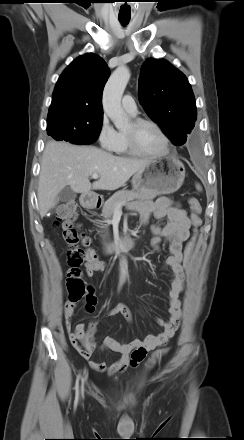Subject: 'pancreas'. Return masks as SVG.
Returning a JSON list of instances; mask_svg holds the SVG:
<instances>
[{
    "mask_svg": "<svg viewBox=\"0 0 244 440\" xmlns=\"http://www.w3.org/2000/svg\"><path fill=\"white\" fill-rule=\"evenodd\" d=\"M155 195H148L137 191L121 190L112 195L103 205L102 214L105 219L109 220L116 211L118 204H123L130 200H137V203L152 201ZM107 230V225L101 226Z\"/></svg>",
    "mask_w": 244,
    "mask_h": 440,
    "instance_id": "obj_1",
    "label": "pancreas"
}]
</instances>
